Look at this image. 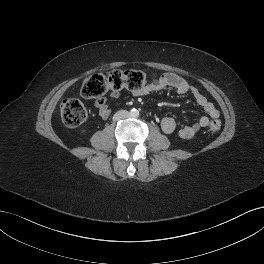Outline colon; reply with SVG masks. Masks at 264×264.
<instances>
[{
	"instance_id": "colon-1",
	"label": "colon",
	"mask_w": 264,
	"mask_h": 264,
	"mask_svg": "<svg viewBox=\"0 0 264 264\" xmlns=\"http://www.w3.org/2000/svg\"><path fill=\"white\" fill-rule=\"evenodd\" d=\"M157 83V79H149L146 74L137 70H113L106 74L96 73L86 77L81 86V96L93 99L107 92L118 93L123 89L138 91L149 84ZM60 112L63 122L70 127L82 124L87 118V110L83 103L75 98H66L62 101ZM221 123L215 119L209 123V131H219Z\"/></svg>"
}]
</instances>
